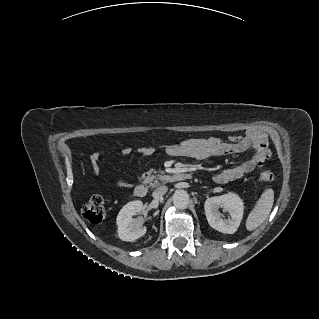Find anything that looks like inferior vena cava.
<instances>
[{
    "instance_id": "602c4592",
    "label": "inferior vena cava",
    "mask_w": 319,
    "mask_h": 319,
    "mask_svg": "<svg viewBox=\"0 0 319 319\" xmlns=\"http://www.w3.org/2000/svg\"><path fill=\"white\" fill-rule=\"evenodd\" d=\"M168 188L166 186H160L155 189L152 193L154 199H160L166 192Z\"/></svg>"
}]
</instances>
